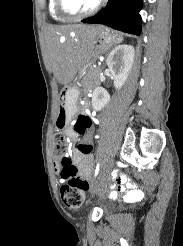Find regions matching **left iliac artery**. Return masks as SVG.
<instances>
[{
	"mask_svg": "<svg viewBox=\"0 0 183 246\" xmlns=\"http://www.w3.org/2000/svg\"><path fill=\"white\" fill-rule=\"evenodd\" d=\"M99 169H100V163H97V166H96V169H95V176L98 175Z\"/></svg>",
	"mask_w": 183,
	"mask_h": 246,
	"instance_id": "left-iliac-artery-1",
	"label": "left iliac artery"
}]
</instances>
